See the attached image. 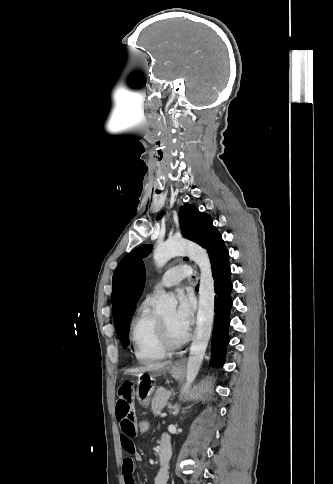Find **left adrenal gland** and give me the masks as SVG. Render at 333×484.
Wrapping results in <instances>:
<instances>
[{
    "label": "left adrenal gland",
    "mask_w": 333,
    "mask_h": 484,
    "mask_svg": "<svg viewBox=\"0 0 333 484\" xmlns=\"http://www.w3.org/2000/svg\"><path fill=\"white\" fill-rule=\"evenodd\" d=\"M178 412H179V408H176L174 414L177 415Z\"/></svg>",
    "instance_id": "obj_1"
}]
</instances>
